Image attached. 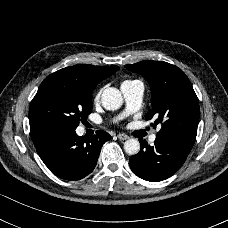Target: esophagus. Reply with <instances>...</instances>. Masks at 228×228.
<instances>
[{
	"label": "esophagus",
	"mask_w": 228,
	"mask_h": 228,
	"mask_svg": "<svg viewBox=\"0 0 228 228\" xmlns=\"http://www.w3.org/2000/svg\"><path fill=\"white\" fill-rule=\"evenodd\" d=\"M117 137L120 139V140H127L129 137L128 135L124 134V133H119L117 134Z\"/></svg>",
	"instance_id": "1"
}]
</instances>
